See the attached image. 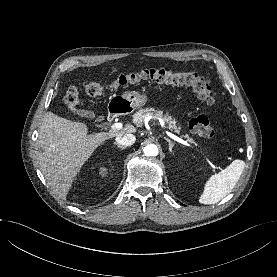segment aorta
Here are the masks:
<instances>
[{
	"label": "aorta",
	"instance_id": "762f6f07",
	"mask_svg": "<svg viewBox=\"0 0 277 277\" xmlns=\"http://www.w3.org/2000/svg\"><path fill=\"white\" fill-rule=\"evenodd\" d=\"M143 151L146 156H157L158 155V148L154 144L145 146Z\"/></svg>",
	"mask_w": 277,
	"mask_h": 277
}]
</instances>
